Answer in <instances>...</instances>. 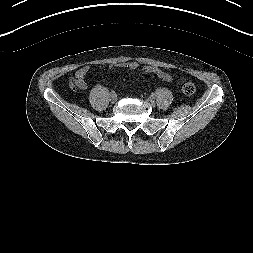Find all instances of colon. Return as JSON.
Masks as SVG:
<instances>
[{
  "label": "colon",
  "instance_id": "1",
  "mask_svg": "<svg viewBox=\"0 0 253 253\" xmlns=\"http://www.w3.org/2000/svg\"><path fill=\"white\" fill-rule=\"evenodd\" d=\"M182 91L188 96L193 95L196 92V86L191 81L182 80Z\"/></svg>",
  "mask_w": 253,
  "mask_h": 253
}]
</instances>
